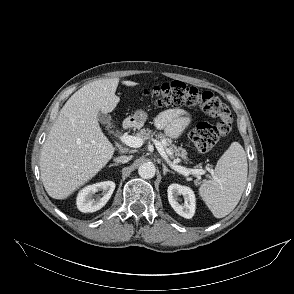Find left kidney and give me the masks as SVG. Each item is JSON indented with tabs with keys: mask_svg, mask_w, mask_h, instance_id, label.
<instances>
[{
	"mask_svg": "<svg viewBox=\"0 0 294 294\" xmlns=\"http://www.w3.org/2000/svg\"><path fill=\"white\" fill-rule=\"evenodd\" d=\"M167 192L169 203L174 211L186 219H191L194 216L196 208V199L193 190L179 184H171ZM178 195L184 197V204L179 203Z\"/></svg>",
	"mask_w": 294,
	"mask_h": 294,
	"instance_id": "left-kidney-1",
	"label": "left kidney"
}]
</instances>
